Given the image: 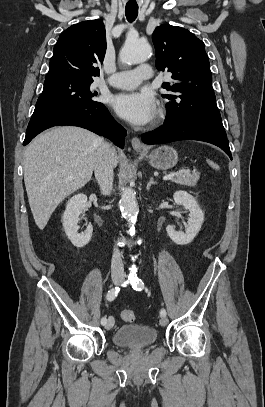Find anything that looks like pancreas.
<instances>
[{
    "label": "pancreas",
    "instance_id": "obj_1",
    "mask_svg": "<svg viewBox=\"0 0 265 407\" xmlns=\"http://www.w3.org/2000/svg\"><path fill=\"white\" fill-rule=\"evenodd\" d=\"M199 179H200V173L193 172V173L178 174L175 177H173L171 179V181L174 183L180 184V185L193 187L197 184V181Z\"/></svg>",
    "mask_w": 265,
    "mask_h": 407
}]
</instances>
